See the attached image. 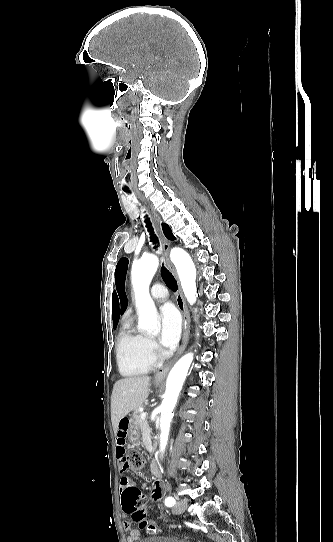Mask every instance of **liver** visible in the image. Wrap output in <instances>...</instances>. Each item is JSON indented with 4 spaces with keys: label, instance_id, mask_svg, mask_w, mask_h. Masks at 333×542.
Returning a JSON list of instances; mask_svg holds the SVG:
<instances>
[{
    "label": "liver",
    "instance_id": "6515ba94",
    "mask_svg": "<svg viewBox=\"0 0 333 542\" xmlns=\"http://www.w3.org/2000/svg\"><path fill=\"white\" fill-rule=\"evenodd\" d=\"M150 376H125L113 386L111 396V422L117 436L120 420L129 412L141 408L149 396Z\"/></svg>",
    "mask_w": 333,
    "mask_h": 542
}]
</instances>
